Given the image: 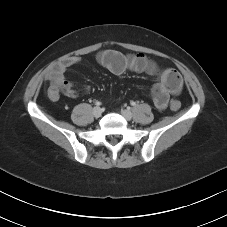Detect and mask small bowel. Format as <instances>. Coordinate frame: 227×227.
Here are the masks:
<instances>
[{
	"label": "small bowel",
	"mask_w": 227,
	"mask_h": 227,
	"mask_svg": "<svg viewBox=\"0 0 227 227\" xmlns=\"http://www.w3.org/2000/svg\"><path fill=\"white\" fill-rule=\"evenodd\" d=\"M79 58L71 57L67 61L52 68L46 75L50 83L49 96L56 100L60 94L70 98H76L79 91L76 85L67 81L65 73L68 68L79 63ZM98 63L115 75H121L127 70L134 72L147 73L149 75L158 74V65L155 61L148 58L144 54H124L117 50H103L97 55ZM181 83L177 85L167 84L161 77L160 81L152 88L153 103L159 110H164L167 107L169 98L172 94H177L180 91ZM87 91L88 88L84 87Z\"/></svg>",
	"instance_id": "small-bowel-1"
}]
</instances>
